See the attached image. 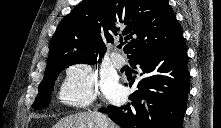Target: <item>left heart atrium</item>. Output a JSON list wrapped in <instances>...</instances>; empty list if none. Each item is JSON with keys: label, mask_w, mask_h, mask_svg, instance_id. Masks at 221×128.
<instances>
[{"label": "left heart atrium", "mask_w": 221, "mask_h": 128, "mask_svg": "<svg viewBox=\"0 0 221 128\" xmlns=\"http://www.w3.org/2000/svg\"><path fill=\"white\" fill-rule=\"evenodd\" d=\"M104 88L109 97L119 99L122 97V90L114 83L112 78L104 80Z\"/></svg>", "instance_id": "39dd6f15"}]
</instances>
